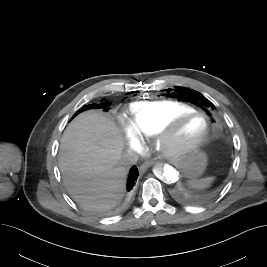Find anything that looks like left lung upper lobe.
Listing matches in <instances>:
<instances>
[{
  "label": "left lung upper lobe",
  "instance_id": "obj_1",
  "mask_svg": "<svg viewBox=\"0 0 267 267\" xmlns=\"http://www.w3.org/2000/svg\"><path fill=\"white\" fill-rule=\"evenodd\" d=\"M171 91V92H170ZM168 95L173 98H177L179 101H187L197 106H205V111L209 113L214 108V105L204 98V96L192 89L185 88V87H177L174 90H168Z\"/></svg>",
  "mask_w": 267,
  "mask_h": 267
}]
</instances>
